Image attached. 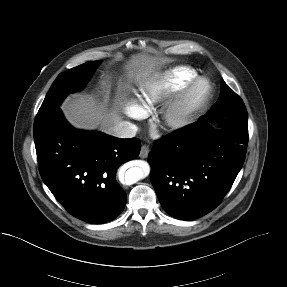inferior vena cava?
<instances>
[{
    "label": "inferior vena cava",
    "mask_w": 287,
    "mask_h": 287,
    "mask_svg": "<svg viewBox=\"0 0 287 287\" xmlns=\"http://www.w3.org/2000/svg\"><path fill=\"white\" fill-rule=\"evenodd\" d=\"M137 133L136 125L128 121H118L110 129V134L118 138H133Z\"/></svg>",
    "instance_id": "602c4592"
}]
</instances>
